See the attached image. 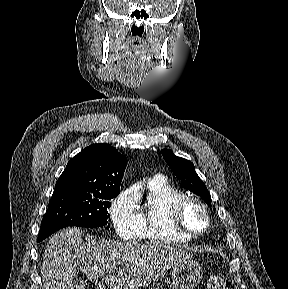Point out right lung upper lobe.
<instances>
[{
  "label": "right lung upper lobe",
  "instance_id": "obj_1",
  "mask_svg": "<svg viewBox=\"0 0 288 289\" xmlns=\"http://www.w3.org/2000/svg\"><path fill=\"white\" fill-rule=\"evenodd\" d=\"M127 164L125 156L108 144H93L71 158L56 182L54 192L119 190Z\"/></svg>",
  "mask_w": 288,
  "mask_h": 289
}]
</instances>
